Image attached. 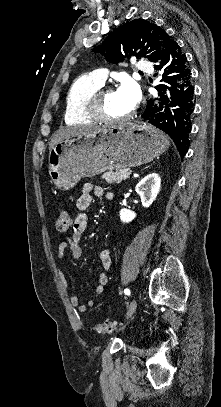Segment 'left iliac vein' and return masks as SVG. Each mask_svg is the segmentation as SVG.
<instances>
[{
    "mask_svg": "<svg viewBox=\"0 0 221 407\" xmlns=\"http://www.w3.org/2000/svg\"><path fill=\"white\" fill-rule=\"evenodd\" d=\"M137 307V302L135 299H133L130 303V305L128 306V312H127V316L126 318L129 319L135 312Z\"/></svg>",
    "mask_w": 221,
    "mask_h": 407,
    "instance_id": "obj_1",
    "label": "left iliac vein"
}]
</instances>
